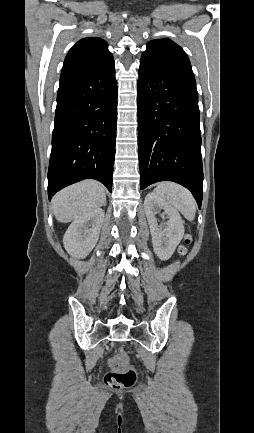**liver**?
Segmentation results:
<instances>
[{"label": "liver", "mask_w": 254, "mask_h": 433, "mask_svg": "<svg viewBox=\"0 0 254 433\" xmlns=\"http://www.w3.org/2000/svg\"><path fill=\"white\" fill-rule=\"evenodd\" d=\"M104 186L85 180L58 192L52 200V210L59 222H70L104 205Z\"/></svg>", "instance_id": "6515ba94"}]
</instances>
